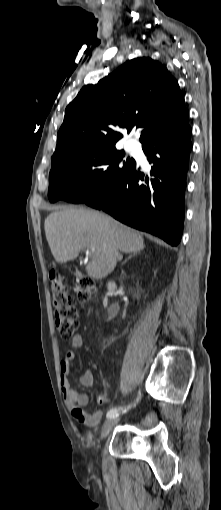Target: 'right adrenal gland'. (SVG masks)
Here are the masks:
<instances>
[{
  "mask_svg": "<svg viewBox=\"0 0 221 510\" xmlns=\"http://www.w3.org/2000/svg\"><path fill=\"white\" fill-rule=\"evenodd\" d=\"M135 255H137V252H134L133 254L129 255V256H128L125 260H124V262H123V263L127 262V260H129L132 256H135ZM120 258H122V256H120Z\"/></svg>",
  "mask_w": 221,
  "mask_h": 510,
  "instance_id": "2a0ac1e0",
  "label": "right adrenal gland"
}]
</instances>
